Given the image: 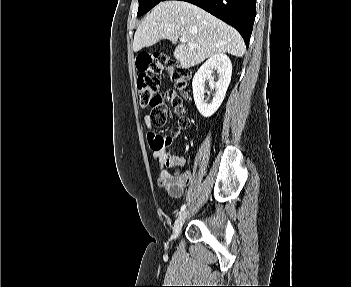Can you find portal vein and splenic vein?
I'll return each mask as SVG.
<instances>
[{
    "mask_svg": "<svg viewBox=\"0 0 351 287\" xmlns=\"http://www.w3.org/2000/svg\"><path fill=\"white\" fill-rule=\"evenodd\" d=\"M180 41H181L182 43L187 42V40H186L185 38H180ZM188 45H189L190 47H197V45H195V44H193V43H188Z\"/></svg>",
    "mask_w": 351,
    "mask_h": 287,
    "instance_id": "18ae733b",
    "label": "portal vein and splenic vein"
}]
</instances>
